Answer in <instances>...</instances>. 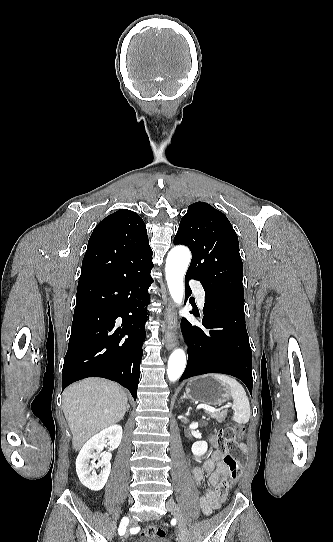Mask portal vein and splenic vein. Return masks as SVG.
<instances>
[{
    "label": "portal vein and splenic vein",
    "instance_id": "18ae733b",
    "mask_svg": "<svg viewBox=\"0 0 333 542\" xmlns=\"http://www.w3.org/2000/svg\"><path fill=\"white\" fill-rule=\"evenodd\" d=\"M207 410V412H220V410H217V408H212V406H205V404H200V406H197V410Z\"/></svg>",
    "mask_w": 333,
    "mask_h": 542
}]
</instances>
